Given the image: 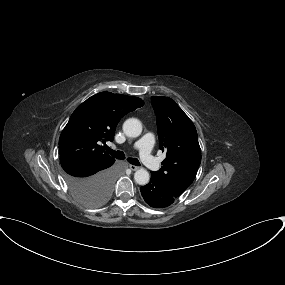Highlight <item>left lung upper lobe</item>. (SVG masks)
<instances>
[{"mask_svg": "<svg viewBox=\"0 0 285 285\" xmlns=\"http://www.w3.org/2000/svg\"><path fill=\"white\" fill-rule=\"evenodd\" d=\"M151 104L157 116L159 148L166 152L162 168L154 173L179 196L191 185L200 166L197 131L174 100L152 96Z\"/></svg>", "mask_w": 285, "mask_h": 285, "instance_id": "left-lung-upper-lobe-1", "label": "left lung upper lobe"}]
</instances>
